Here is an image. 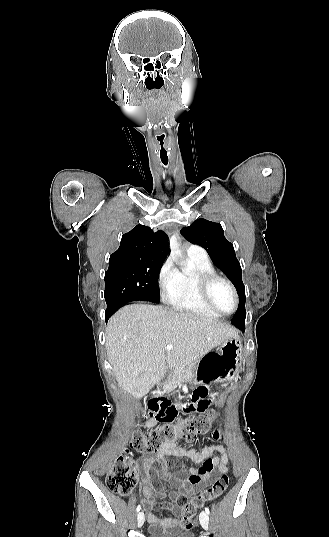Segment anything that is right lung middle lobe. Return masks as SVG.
Wrapping results in <instances>:
<instances>
[{
  "instance_id": "right-lung-middle-lobe-1",
  "label": "right lung middle lobe",
  "mask_w": 329,
  "mask_h": 537,
  "mask_svg": "<svg viewBox=\"0 0 329 537\" xmlns=\"http://www.w3.org/2000/svg\"><path fill=\"white\" fill-rule=\"evenodd\" d=\"M161 263L109 268L105 273L104 297L107 310L134 300L160 302L158 276Z\"/></svg>"
}]
</instances>
